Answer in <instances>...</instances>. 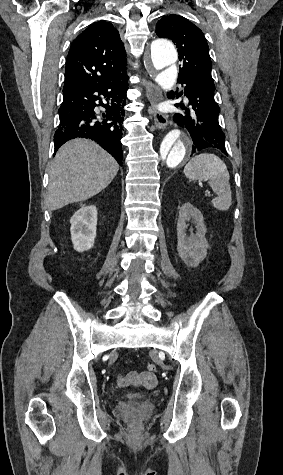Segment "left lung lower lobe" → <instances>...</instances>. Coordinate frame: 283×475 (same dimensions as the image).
I'll use <instances>...</instances> for the list:
<instances>
[{"label": "left lung lower lobe", "instance_id": "obj_1", "mask_svg": "<svg viewBox=\"0 0 283 475\" xmlns=\"http://www.w3.org/2000/svg\"><path fill=\"white\" fill-rule=\"evenodd\" d=\"M177 82L185 84L184 94L188 97L192 110L187 109L186 116L177 114L174 120L189 131L193 141L192 153L205 148H216L227 155L225 134L218 122L220 108L214 100L215 86L196 79L178 78ZM181 108L184 109L182 106Z\"/></svg>", "mask_w": 283, "mask_h": 475}]
</instances>
